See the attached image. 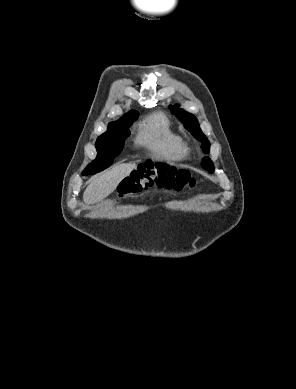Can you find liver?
Returning <instances> with one entry per match:
<instances>
[{
    "label": "liver",
    "mask_w": 296,
    "mask_h": 389,
    "mask_svg": "<svg viewBox=\"0 0 296 389\" xmlns=\"http://www.w3.org/2000/svg\"><path fill=\"white\" fill-rule=\"evenodd\" d=\"M137 168L136 164H119L103 174L93 178L84 191L83 200L86 204L102 201L118 187L119 183Z\"/></svg>",
    "instance_id": "liver-1"
}]
</instances>
